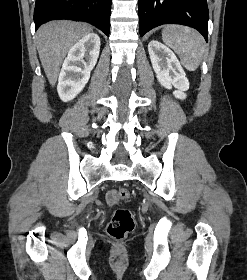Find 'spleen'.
Masks as SVG:
<instances>
[{
	"label": "spleen",
	"instance_id": "1",
	"mask_svg": "<svg viewBox=\"0 0 247 280\" xmlns=\"http://www.w3.org/2000/svg\"><path fill=\"white\" fill-rule=\"evenodd\" d=\"M162 39L176 52L187 70L195 71L199 67L204 45L202 36L196 30L182 25H167L162 30Z\"/></svg>",
	"mask_w": 247,
	"mask_h": 280
}]
</instances>
